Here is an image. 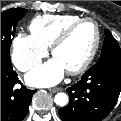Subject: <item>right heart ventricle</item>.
<instances>
[{"label": "right heart ventricle", "mask_w": 121, "mask_h": 121, "mask_svg": "<svg viewBox=\"0 0 121 121\" xmlns=\"http://www.w3.org/2000/svg\"><path fill=\"white\" fill-rule=\"evenodd\" d=\"M80 18L75 14L40 15L31 21L29 29L32 35L48 48L68 25Z\"/></svg>", "instance_id": "right-heart-ventricle-1"}]
</instances>
